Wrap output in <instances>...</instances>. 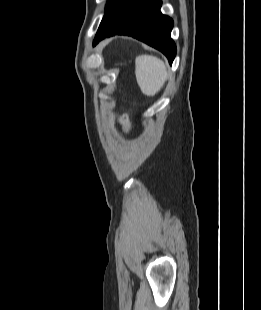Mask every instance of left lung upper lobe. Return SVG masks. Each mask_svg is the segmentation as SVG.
Returning a JSON list of instances; mask_svg holds the SVG:
<instances>
[{"instance_id": "left-lung-upper-lobe-1", "label": "left lung upper lobe", "mask_w": 261, "mask_h": 310, "mask_svg": "<svg viewBox=\"0 0 261 310\" xmlns=\"http://www.w3.org/2000/svg\"><path fill=\"white\" fill-rule=\"evenodd\" d=\"M122 0H108L106 12L100 25H105L111 21Z\"/></svg>"}]
</instances>
